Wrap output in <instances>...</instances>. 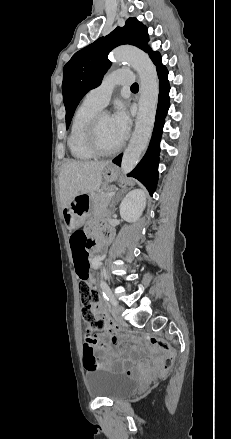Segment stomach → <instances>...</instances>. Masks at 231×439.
Returning <instances> with one entry per match:
<instances>
[{"instance_id":"0dacf381","label":"stomach","mask_w":231,"mask_h":439,"mask_svg":"<svg viewBox=\"0 0 231 439\" xmlns=\"http://www.w3.org/2000/svg\"><path fill=\"white\" fill-rule=\"evenodd\" d=\"M103 177L107 182L115 181L118 177L113 165H107L103 170ZM92 195L78 194L63 208V217L69 230L77 229L85 216L91 211Z\"/></svg>"}]
</instances>
